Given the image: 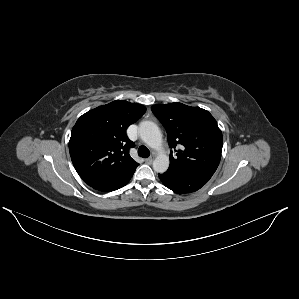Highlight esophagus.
<instances>
[{
  "label": "esophagus",
  "instance_id": "34e87169",
  "mask_svg": "<svg viewBox=\"0 0 299 299\" xmlns=\"http://www.w3.org/2000/svg\"><path fill=\"white\" fill-rule=\"evenodd\" d=\"M145 162H146L147 164H151V163L153 162V157L146 158V159H145Z\"/></svg>",
  "mask_w": 299,
  "mask_h": 299
}]
</instances>
